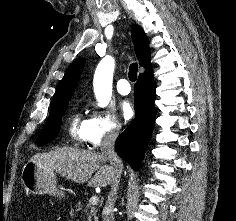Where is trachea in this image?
Listing matches in <instances>:
<instances>
[{"instance_id":"trachea-1","label":"trachea","mask_w":236,"mask_h":221,"mask_svg":"<svg viewBox=\"0 0 236 221\" xmlns=\"http://www.w3.org/2000/svg\"><path fill=\"white\" fill-rule=\"evenodd\" d=\"M138 65L137 63H132L129 67L128 77L130 81L134 82L137 79Z\"/></svg>"}]
</instances>
